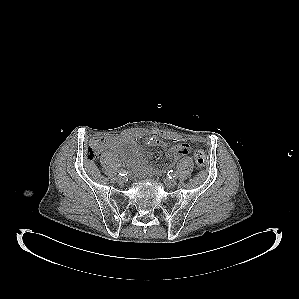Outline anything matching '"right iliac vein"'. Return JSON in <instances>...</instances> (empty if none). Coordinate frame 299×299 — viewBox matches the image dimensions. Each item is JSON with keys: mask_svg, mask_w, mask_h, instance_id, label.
Here are the masks:
<instances>
[{"mask_svg": "<svg viewBox=\"0 0 299 299\" xmlns=\"http://www.w3.org/2000/svg\"><path fill=\"white\" fill-rule=\"evenodd\" d=\"M116 181H117L118 183L122 184V183H124L125 178L122 177V176H118V177L116 178Z\"/></svg>", "mask_w": 299, "mask_h": 299, "instance_id": "right-iliac-vein-1", "label": "right iliac vein"}]
</instances>
